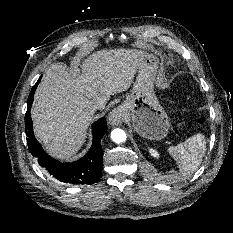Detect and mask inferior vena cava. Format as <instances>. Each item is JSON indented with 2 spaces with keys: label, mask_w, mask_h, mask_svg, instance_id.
<instances>
[{
  "label": "inferior vena cava",
  "mask_w": 233,
  "mask_h": 233,
  "mask_svg": "<svg viewBox=\"0 0 233 233\" xmlns=\"http://www.w3.org/2000/svg\"><path fill=\"white\" fill-rule=\"evenodd\" d=\"M92 110H93V112H94V113H97V112H99V110H100V109H99V107H98V106H95V107H93V109H92Z\"/></svg>",
  "instance_id": "inferior-vena-cava-1"
}]
</instances>
